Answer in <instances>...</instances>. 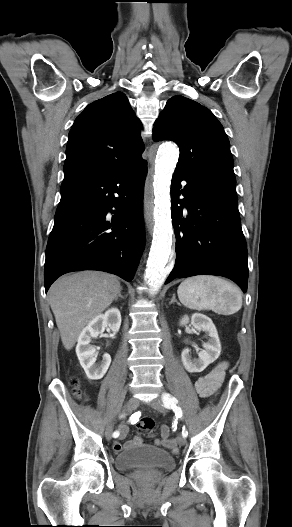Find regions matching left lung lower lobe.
<instances>
[{
	"label": "left lung lower lobe",
	"instance_id": "1",
	"mask_svg": "<svg viewBox=\"0 0 292 527\" xmlns=\"http://www.w3.org/2000/svg\"><path fill=\"white\" fill-rule=\"evenodd\" d=\"M183 180L187 184L180 190ZM181 194L184 196L182 200L179 199ZM171 215L176 234V262L166 283L176 277L219 275L233 280L245 292L248 281L247 246L240 223L236 189L187 179L174 172Z\"/></svg>",
	"mask_w": 292,
	"mask_h": 527
}]
</instances>
